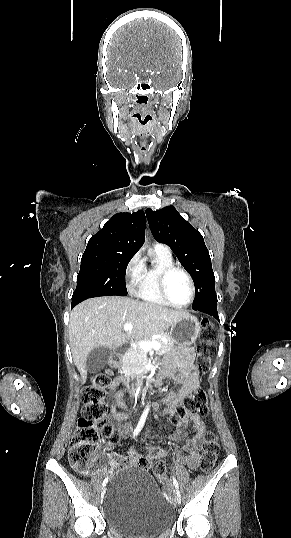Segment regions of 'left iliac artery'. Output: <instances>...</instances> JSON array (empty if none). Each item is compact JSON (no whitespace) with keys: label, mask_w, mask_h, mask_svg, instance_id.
Listing matches in <instances>:
<instances>
[{"label":"left iliac artery","mask_w":291,"mask_h":538,"mask_svg":"<svg viewBox=\"0 0 291 538\" xmlns=\"http://www.w3.org/2000/svg\"><path fill=\"white\" fill-rule=\"evenodd\" d=\"M173 483H174L175 487L178 488V482H177V480H176V478L174 476H173Z\"/></svg>","instance_id":"1"}]
</instances>
